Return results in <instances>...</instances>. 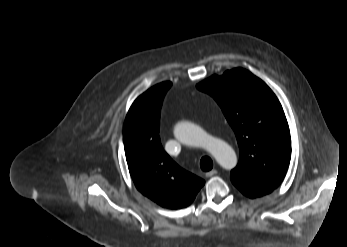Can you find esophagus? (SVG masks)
<instances>
[{
  "label": "esophagus",
  "mask_w": 347,
  "mask_h": 247,
  "mask_svg": "<svg viewBox=\"0 0 347 247\" xmlns=\"http://www.w3.org/2000/svg\"><path fill=\"white\" fill-rule=\"evenodd\" d=\"M216 174H217V170L213 169V170L207 172L205 175H206V177H212Z\"/></svg>",
  "instance_id": "1"
}]
</instances>
